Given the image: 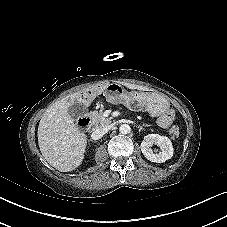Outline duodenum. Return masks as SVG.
Returning <instances> with one entry per match:
<instances>
[{
	"label": "duodenum",
	"instance_id": "duodenum-1",
	"mask_svg": "<svg viewBox=\"0 0 227 227\" xmlns=\"http://www.w3.org/2000/svg\"><path fill=\"white\" fill-rule=\"evenodd\" d=\"M77 124L82 130H87L91 126V121L88 117L84 116L78 120Z\"/></svg>",
	"mask_w": 227,
	"mask_h": 227
}]
</instances>
